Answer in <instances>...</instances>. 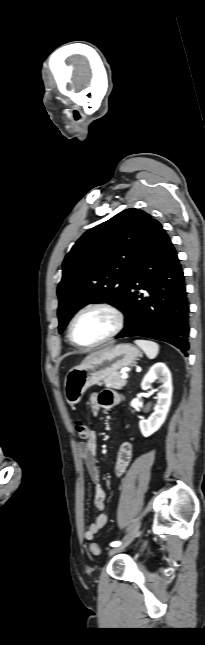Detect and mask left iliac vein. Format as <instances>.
<instances>
[{"instance_id": "obj_1", "label": "left iliac vein", "mask_w": 205, "mask_h": 645, "mask_svg": "<svg viewBox=\"0 0 205 645\" xmlns=\"http://www.w3.org/2000/svg\"><path fill=\"white\" fill-rule=\"evenodd\" d=\"M140 526H141V523H137L133 527V529L130 531V533L127 535L124 543L122 545H119L118 547H114L111 550H109V554L110 555L115 554V553L121 551L122 549H124L125 547H127L134 540V538L136 537V535H137V533H138V531L140 529Z\"/></svg>"}]
</instances>
